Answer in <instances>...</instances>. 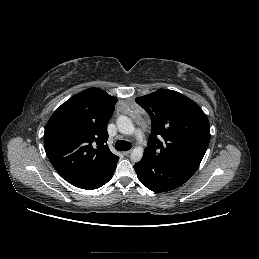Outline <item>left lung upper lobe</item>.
Returning <instances> with one entry per match:
<instances>
[{"label":"left lung upper lobe","instance_id":"5c2ea615","mask_svg":"<svg viewBox=\"0 0 259 259\" xmlns=\"http://www.w3.org/2000/svg\"><path fill=\"white\" fill-rule=\"evenodd\" d=\"M151 117L144 155L196 171L210 141V125L199 105L185 95L159 89L136 98Z\"/></svg>","mask_w":259,"mask_h":259}]
</instances>
